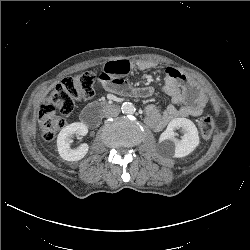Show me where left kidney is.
Segmentation results:
<instances>
[{"instance_id":"1","label":"left kidney","mask_w":250,"mask_h":250,"mask_svg":"<svg viewBox=\"0 0 250 250\" xmlns=\"http://www.w3.org/2000/svg\"><path fill=\"white\" fill-rule=\"evenodd\" d=\"M181 129V139L175 137V130ZM162 153L175 158L189 155L199 145V135L195 124L187 118L171 120L166 130L159 137Z\"/></svg>"}]
</instances>
